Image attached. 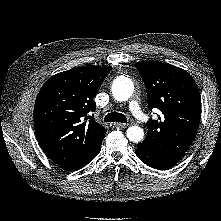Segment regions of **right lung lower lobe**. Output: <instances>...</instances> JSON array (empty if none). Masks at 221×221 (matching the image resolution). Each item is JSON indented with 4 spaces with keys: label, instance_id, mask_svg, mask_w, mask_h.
Instances as JSON below:
<instances>
[{
    "label": "right lung lower lobe",
    "instance_id": "98d812e1",
    "mask_svg": "<svg viewBox=\"0 0 221 221\" xmlns=\"http://www.w3.org/2000/svg\"><path fill=\"white\" fill-rule=\"evenodd\" d=\"M100 149L101 147L92 154H90L89 156L80 160H53V161L66 170H78L86 166L90 161H92L98 155Z\"/></svg>",
    "mask_w": 221,
    "mask_h": 221
}]
</instances>
